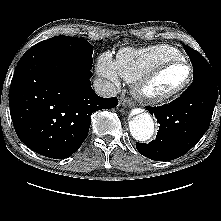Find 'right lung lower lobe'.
<instances>
[{
    "mask_svg": "<svg viewBox=\"0 0 221 221\" xmlns=\"http://www.w3.org/2000/svg\"><path fill=\"white\" fill-rule=\"evenodd\" d=\"M89 69L30 48L15 69L9 91L10 114L19 139L34 152L65 159L88 136L90 116L117 106L99 97Z\"/></svg>",
    "mask_w": 221,
    "mask_h": 221,
    "instance_id": "obj_1",
    "label": "right lung lower lobe"
}]
</instances>
